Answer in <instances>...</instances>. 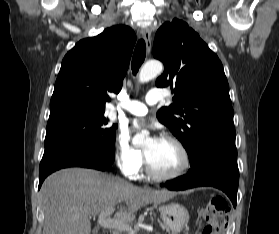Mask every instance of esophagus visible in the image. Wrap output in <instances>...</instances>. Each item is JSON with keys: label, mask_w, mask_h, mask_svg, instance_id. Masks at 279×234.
Here are the masks:
<instances>
[{"label": "esophagus", "mask_w": 279, "mask_h": 234, "mask_svg": "<svg viewBox=\"0 0 279 234\" xmlns=\"http://www.w3.org/2000/svg\"><path fill=\"white\" fill-rule=\"evenodd\" d=\"M142 38L145 41L147 51L151 49V30L149 28H144L141 30Z\"/></svg>", "instance_id": "1"}]
</instances>
